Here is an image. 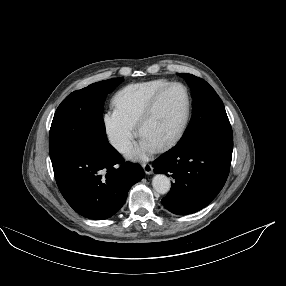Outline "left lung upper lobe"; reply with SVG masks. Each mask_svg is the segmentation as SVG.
Listing matches in <instances>:
<instances>
[{
    "label": "left lung upper lobe",
    "instance_id": "left-lung-upper-lobe-1",
    "mask_svg": "<svg viewBox=\"0 0 286 286\" xmlns=\"http://www.w3.org/2000/svg\"><path fill=\"white\" fill-rule=\"evenodd\" d=\"M192 87L193 116L176 147H187L203 141H233L225 107L215 90L203 79L181 73Z\"/></svg>",
    "mask_w": 286,
    "mask_h": 286
}]
</instances>
